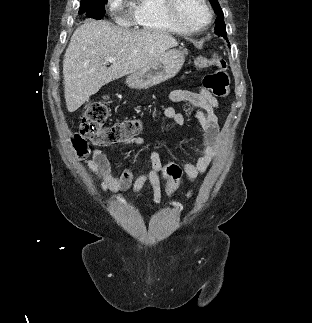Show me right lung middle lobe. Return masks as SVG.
<instances>
[{
  "label": "right lung middle lobe",
  "mask_w": 312,
  "mask_h": 323,
  "mask_svg": "<svg viewBox=\"0 0 312 323\" xmlns=\"http://www.w3.org/2000/svg\"><path fill=\"white\" fill-rule=\"evenodd\" d=\"M105 1L107 0H81L79 14L100 20L105 15Z\"/></svg>",
  "instance_id": "obj_1"
}]
</instances>
